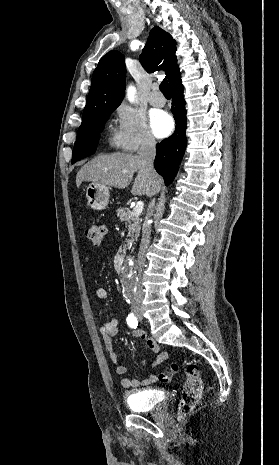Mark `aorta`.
<instances>
[{
  "label": "aorta",
  "mask_w": 279,
  "mask_h": 465,
  "mask_svg": "<svg viewBox=\"0 0 279 465\" xmlns=\"http://www.w3.org/2000/svg\"><path fill=\"white\" fill-rule=\"evenodd\" d=\"M134 93H135V88L133 86H130L127 89V97L129 99V101L134 100ZM133 266H134L133 261L129 260L128 267L126 268L125 274H124L127 285H131L135 280V273H134V270H133Z\"/></svg>",
  "instance_id": "1"
}]
</instances>
